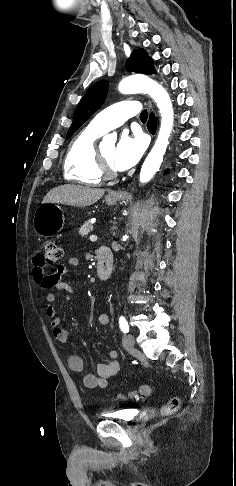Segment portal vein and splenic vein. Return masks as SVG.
Segmentation results:
<instances>
[{
	"label": "portal vein and splenic vein",
	"mask_w": 236,
	"mask_h": 486,
	"mask_svg": "<svg viewBox=\"0 0 236 486\" xmlns=\"http://www.w3.org/2000/svg\"><path fill=\"white\" fill-rule=\"evenodd\" d=\"M89 239H90V241H96L97 240V236L96 235H91Z\"/></svg>",
	"instance_id": "obj_1"
}]
</instances>
